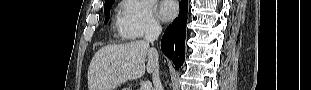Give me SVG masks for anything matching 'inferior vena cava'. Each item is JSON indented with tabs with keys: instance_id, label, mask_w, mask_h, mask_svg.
Segmentation results:
<instances>
[{
	"instance_id": "obj_1",
	"label": "inferior vena cava",
	"mask_w": 311,
	"mask_h": 90,
	"mask_svg": "<svg viewBox=\"0 0 311 90\" xmlns=\"http://www.w3.org/2000/svg\"><path fill=\"white\" fill-rule=\"evenodd\" d=\"M162 28L160 24L153 22L151 23L145 32V38L142 43L143 48L148 51L146 53V65L149 66V68L152 71V80L154 84L155 90H163L160 76H159V68L158 64H156L155 61V50L153 49V42L158 39L159 35L161 34Z\"/></svg>"
}]
</instances>
